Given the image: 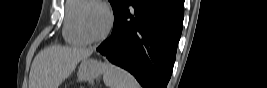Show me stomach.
I'll use <instances>...</instances> for the list:
<instances>
[{"label":"stomach","mask_w":267,"mask_h":88,"mask_svg":"<svg viewBox=\"0 0 267 88\" xmlns=\"http://www.w3.org/2000/svg\"><path fill=\"white\" fill-rule=\"evenodd\" d=\"M102 62L94 59H84L78 69V79L80 81H90L96 79L103 73Z\"/></svg>","instance_id":"stomach-1"}]
</instances>
